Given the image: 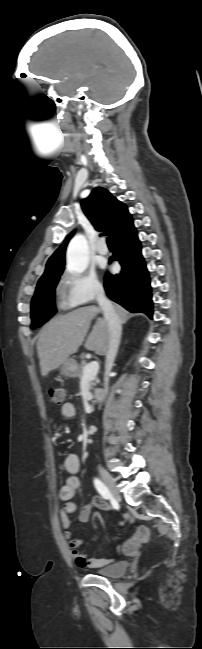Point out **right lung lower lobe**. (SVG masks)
Instances as JSON below:
<instances>
[{
  "label": "right lung lower lobe",
  "instance_id": "98d812e1",
  "mask_svg": "<svg viewBox=\"0 0 202 649\" xmlns=\"http://www.w3.org/2000/svg\"><path fill=\"white\" fill-rule=\"evenodd\" d=\"M114 241L115 252L110 262L118 261L122 270L119 274L105 276L104 287L107 296L130 312H143L152 318L150 278L141 254L136 229L117 237Z\"/></svg>",
  "mask_w": 202,
  "mask_h": 649
}]
</instances>
